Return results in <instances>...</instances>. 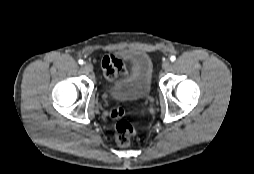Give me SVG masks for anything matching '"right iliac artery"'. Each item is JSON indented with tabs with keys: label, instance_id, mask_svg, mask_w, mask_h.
Returning a JSON list of instances; mask_svg holds the SVG:
<instances>
[{
	"label": "right iliac artery",
	"instance_id": "82829eb1",
	"mask_svg": "<svg viewBox=\"0 0 254 174\" xmlns=\"http://www.w3.org/2000/svg\"><path fill=\"white\" fill-rule=\"evenodd\" d=\"M78 63L82 65L84 62H83V60L80 59V60L78 61Z\"/></svg>",
	"mask_w": 254,
	"mask_h": 174
}]
</instances>
